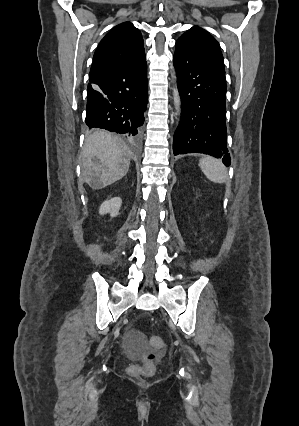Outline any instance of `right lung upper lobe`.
Instances as JSON below:
<instances>
[{"label": "right lung upper lobe", "instance_id": "1", "mask_svg": "<svg viewBox=\"0 0 299 426\" xmlns=\"http://www.w3.org/2000/svg\"><path fill=\"white\" fill-rule=\"evenodd\" d=\"M145 61L140 31L130 22L112 28L101 40L93 57L90 75L135 66Z\"/></svg>", "mask_w": 299, "mask_h": 426}]
</instances>
